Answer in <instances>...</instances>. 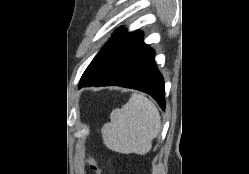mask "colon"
<instances>
[{"instance_id":"5ec220e1","label":"colon","mask_w":249,"mask_h":174,"mask_svg":"<svg viewBox=\"0 0 249 174\" xmlns=\"http://www.w3.org/2000/svg\"><path fill=\"white\" fill-rule=\"evenodd\" d=\"M88 162H89L90 169L92 172H94L95 174H101L100 164H99L98 160L93 155H90L88 157Z\"/></svg>"}]
</instances>
